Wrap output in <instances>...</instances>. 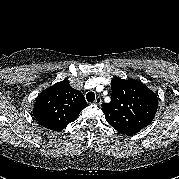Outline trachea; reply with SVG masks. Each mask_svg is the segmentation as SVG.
I'll list each match as a JSON object with an SVG mask.
<instances>
[{
    "label": "trachea",
    "mask_w": 179,
    "mask_h": 179,
    "mask_svg": "<svg viewBox=\"0 0 179 179\" xmlns=\"http://www.w3.org/2000/svg\"><path fill=\"white\" fill-rule=\"evenodd\" d=\"M86 99L88 102H93L95 100V93L94 92H88L86 94Z\"/></svg>",
    "instance_id": "3493384b"
}]
</instances>
